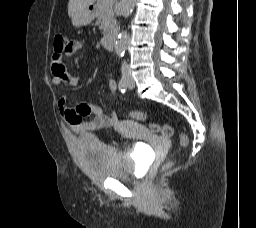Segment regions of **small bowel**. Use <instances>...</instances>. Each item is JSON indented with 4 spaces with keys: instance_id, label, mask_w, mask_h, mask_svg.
<instances>
[{
    "instance_id": "small-bowel-1",
    "label": "small bowel",
    "mask_w": 256,
    "mask_h": 228,
    "mask_svg": "<svg viewBox=\"0 0 256 228\" xmlns=\"http://www.w3.org/2000/svg\"><path fill=\"white\" fill-rule=\"evenodd\" d=\"M84 47L83 42L79 40L70 41L66 49L61 54H53L51 59V71L53 75L52 82L56 85L66 84L69 87H76L79 83V78L70 75L67 72L64 58H70L76 52ZM108 90L114 94L116 91V83L110 79L108 81ZM58 109L62 118L75 132H88L107 127H118L120 120L115 112L106 115L102 108L98 105L80 103L76 106L68 104L66 96L61 97L58 102ZM91 116L90 120H85V117Z\"/></svg>"
}]
</instances>
